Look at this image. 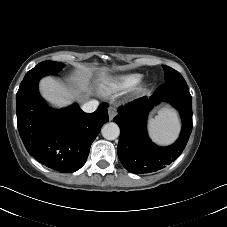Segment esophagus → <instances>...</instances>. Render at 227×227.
Listing matches in <instances>:
<instances>
[{
	"label": "esophagus",
	"instance_id": "34e87169",
	"mask_svg": "<svg viewBox=\"0 0 227 227\" xmlns=\"http://www.w3.org/2000/svg\"><path fill=\"white\" fill-rule=\"evenodd\" d=\"M116 114H117V111L115 108H113V107L108 108V115H109V119L111 121L113 120V118L115 117Z\"/></svg>",
	"mask_w": 227,
	"mask_h": 227
}]
</instances>
